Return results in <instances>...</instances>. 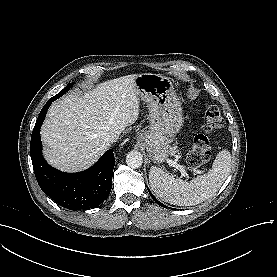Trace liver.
Instances as JSON below:
<instances>
[{
  "label": "liver",
  "instance_id": "liver-1",
  "mask_svg": "<svg viewBox=\"0 0 277 277\" xmlns=\"http://www.w3.org/2000/svg\"><path fill=\"white\" fill-rule=\"evenodd\" d=\"M136 77L108 80L84 94L77 91L54 102L41 127L47 162L67 172L94 164L110 146L106 137L119 136L138 119Z\"/></svg>",
  "mask_w": 277,
  "mask_h": 277
}]
</instances>
